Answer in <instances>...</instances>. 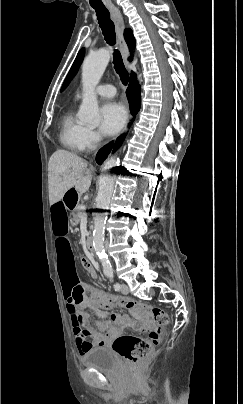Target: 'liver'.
<instances>
[{"mask_svg": "<svg viewBox=\"0 0 243 404\" xmlns=\"http://www.w3.org/2000/svg\"><path fill=\"white\" fill-rule=\"evenodd\" d=\"M91 180L92 176L87 168V162L72 152L57 150L52 154L48 164L50 206L63 200L66 192L73 186L79 194L88 192Z\"/></svg>", "mask_w": 243, "mask_h": 404, "instance_id": "obj_1", "label": "liver"}]
</instances>
